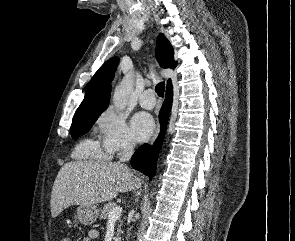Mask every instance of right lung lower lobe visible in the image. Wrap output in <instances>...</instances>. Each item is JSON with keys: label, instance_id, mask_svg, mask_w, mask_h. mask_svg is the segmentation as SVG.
Here are the masks:
<instances>
[{"label": "right lung lower lobe", "instance_id": "98d812e1", "mask_svg": "<svg viewBox=\"0 0 295 241\" xmlns=\"http://www.w3.org/2000/svg\"><path fill=\"white\" fill-rule=\"evenodd\" d=\"M172 100H173V87H172V84H170V85H167L166 99L159 113L161 132L157 141L154 143L153 147L148 144L142 145L140 148L136 150V152L134 153L131 159V166L134 169L149 176L150 180L155 173L157 154L159 152V149L163 140V136L165 133Z\"/></svg>", "mask_w": 295, "mask_h": 241}]
</instances>
